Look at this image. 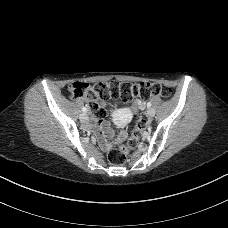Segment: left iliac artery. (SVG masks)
<instances>
[{
  "label": "left iliac artery",
  "mask_w": 228,
  "mask_h": 228,
  "mask_svg": "<svg viewBox=\"0 0 228 228\" xmlns=\"http://www.w3.org/2000/svg\"><path fill=\"white\" fill-rule=\"evenodd\" d=\"M151 105H152L151 102L147 103V107H151Z\"/></svg>",
  "instance_id": "obj_1"
}]
</instances>
